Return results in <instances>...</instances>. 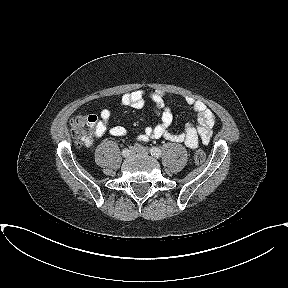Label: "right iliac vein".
<instances>
[{
    "instance_id": "obj_1",
    "label": "right iliac vein",
    "mask_w": 288,
    "mask_h": 288,
    "mask_svg": "<svg viewBox=\"0 0 288 288\" xmlns=\"http://www.w3.org/2000/svg\"><path fill=\"white\" fill-rule=\"evenodd\" d=\"M127 150H128V155L127 156H123V157H129V156H131L134 153V148H130V149H127Z\"/></svg>"
}]
</instances>
